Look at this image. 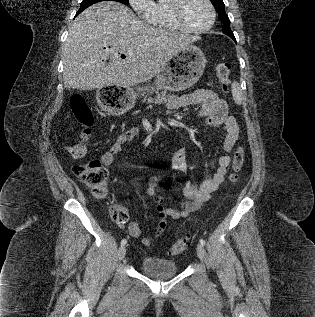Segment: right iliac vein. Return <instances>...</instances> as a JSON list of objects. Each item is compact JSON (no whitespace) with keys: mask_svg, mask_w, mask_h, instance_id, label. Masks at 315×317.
Listing matches in <instances>:
<instances>
[{"mask_svg":"<svg viewBox=\"0 0 315 317\" xmlns=\"http://www.w3.org/2000/svg\"><path fill=\"white\" fill-rule=\"evenodd\" d=\"M126 255V247L125 246H121L118 250V258L119 260H122Z\"/></svg>","mask_w":315,"mask_h":317,"instance_id":"right-iliac-vein-1","label":"right iliac vein"}]
</instances>
